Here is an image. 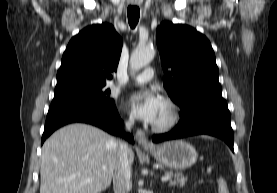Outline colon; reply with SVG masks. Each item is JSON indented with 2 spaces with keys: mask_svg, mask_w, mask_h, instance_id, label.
I'll return each instance as SVG.
<instances>
[{
  "mask_svg": "<svg viewBox=\"0 0 277 193\" xmlns=\"http://www.w3.org/2000/svg\"><path fill=\"white\" fill-rule=\"evenodd\" d=\"M217 191L218 193H230L228 183L223 177L217 180Z\"/></svg>",
  "mask_w": 277,
  "mask_h": 193,
  "instance_id": "obj_1",
  "label": "colon"
}]
</instances>
